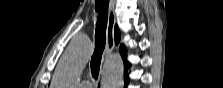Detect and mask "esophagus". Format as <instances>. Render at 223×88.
Returning a JSON list of instances; mask_svg holds the SVG:
<instances>
[{"label": "esophagus", "mask_w": 223, "mask_h": 88, "mask_svg": "<svg viewBox=\"0 0 223 88\" xmlns=\"http://www.w3.org/2000/svg\"><path fill=\"white\" fill-rule=\"evenodd\" d=\"M115 13H114V1L110 0L109 2V13H108V21L106 28V46L102 56L101 67L99 76L96 83V88H103L104 85V74L106 63L110 54L112 53L115 47V38H114V27H115Z\"/></svg>", "instance_id": "esophagus-1"}]
</instances>
